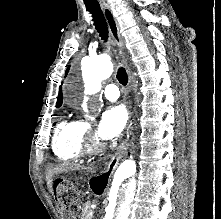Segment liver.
Returning <instances> with one entry per match:
<instances>
[{
  "instance_id": "6515ba94",
  "label": "liver",
  "mask_w": 221,
  "mask_h": 219,
  "mask_svg": "<svg viewBox=\"0 0 221 219\" xmlns=\"http://www.w3.org/2000/svg\"><path fill=\"white\" fill-rule=\"evenodd\" d=\"M79 169H87V168L85 166H80L78 164H70V163H64L57 166H50L47 169V174H46V180L49 190L52 191V177L54 174L67 173Z\"/></svg>"
}]
</instances>
